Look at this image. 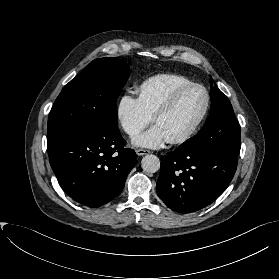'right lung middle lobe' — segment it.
I'll use <instances>...</instances> for the list:
<instances>
[{"label": "right lung middle lobe", "instance_id": "obj_1", "mask_svg": "<svg viewBox=\"0 0 279 279\" xmlns=\"http://www.w3.org/2000/svg\"><path fill=\"white\" fill-rule=\"evenodd\" d=\"M128 68L122 59H96L65 85L50 112L47 144L89 130L117 128V98L129 78Z\"/></svg>", "mask_w": 279, "mask_h": 279}]
</instances>
